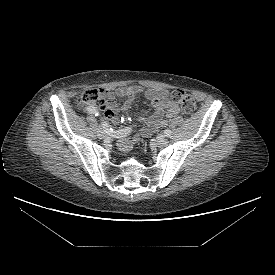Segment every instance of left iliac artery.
Wrapping results in <instances>:
<instances>
[{
    "mask_svg": "<svg viewBox=\"0 0 275 275\" xmlns=\"http://www.w3.org/2000/svg\"><path fill=\"white\" fill-rule=\"evenodd\" d=\"M164 135H165L166 137H170V136H171V130L166 129V130L164 131Z\"/></svg>",
    "mask_w": 275,
    "mask_h": 275,
    "instance_id": "1",
    "label": "left iliac artery"
}]
</instances>
